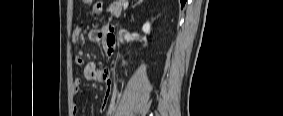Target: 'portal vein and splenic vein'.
Masks as SVG:
<instances>
[{"label":"portal vein and splenic vein","instance_id":"obj_1","mask_svg":"<svg viewBox=\"0 0 283 116\" xmlns=\"http://www.w3.org/2000/svg\"><path fill=\"white\" fill-rule=\"evenodd\" d=\"M127 7H128V3H124V5H123L124 10H126Z\"/></svg>","mask_w":283,"mask_h":116}]
</instances>
